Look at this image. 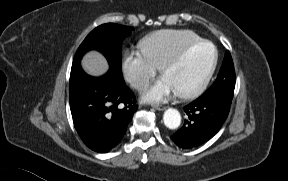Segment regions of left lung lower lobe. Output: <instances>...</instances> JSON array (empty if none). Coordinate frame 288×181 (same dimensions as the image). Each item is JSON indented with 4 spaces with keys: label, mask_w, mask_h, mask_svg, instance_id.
<instances>
[{
    "label": "left lung lower lobe",
    "mask_w": 288,
    "mask_h": 181,
    "mask_svg": "<svg viewBox=\"0 0 288 181\" xmlns=\"http://www.w3.org/2000/svg\"><path fill=\"white\" fill-rule=\"evenodd\" d=\"M230 105L218 98H198L184 107L189 119L171 139L183 149L200 146L220 130L228 116Z\"/></svg>",
    "instance_id": "left-lung-lower-lobe-1"
}]
</instances>
